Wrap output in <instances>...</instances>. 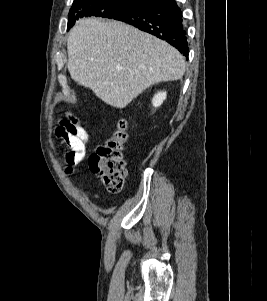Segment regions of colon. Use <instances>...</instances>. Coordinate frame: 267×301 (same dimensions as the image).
Returning a JSON list of instances; mask_svg holds the SVG:
<instances>
[{
  "mask_svg": "<svg viewBox=\"0 0 267 301\" xmlns=\"http://www.w3.org/2000/svg\"><path fill=\"white\" fill-rule=\"evenodd\" d=\"M127 139L128 124L121 119L112 136L88 160L90 169L99 175L105 188L112 194H118L124 185L126 163L123 152Z\"/></svg>",
  "mask_w": 267,
  "mask_h": 301,
  "instance_id": "colon-1",
  "label": "colon"
}]
</instances>
